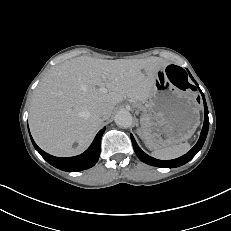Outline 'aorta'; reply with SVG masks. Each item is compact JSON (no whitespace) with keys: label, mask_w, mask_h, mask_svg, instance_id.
<instances>
[{"label":"aorta","mask_w":231,"mask_h":231,"mask_svg":"<svg viewBox=\"0 0 231 231\" xmlns=\"http://www.w3.org/2000/svg\"><path fill=\"white\" fill-rule=\"evenodd\" d=\"M115 123L119 127L128 128L132 125V116L128 111H119L115 115Z\"/></svg>","instance_id":"aorta-1"}]
</instances>
